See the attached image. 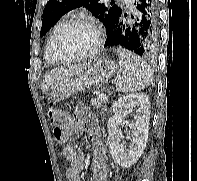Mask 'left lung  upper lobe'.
Here are the masks:
<instances>
[{
	"label": "left lung upper lobe",
	"mask_w": 197,
	"mask_h": 181,
	"mask_svg": "<svg viewBox=\"0 0 197 181\" xmlns=\"http://www.w3.org/2000/svg\"><path fill=\"white\" fill-rule=\"evenodd\" d=\"M79 7H85L103 22L106 31L110 23L122 15V9L117 5H105L99 0H49L43 11L40 36L45 35L64 14Z\"/></svg>",
	"instance_id": "1"
}]
</instances>
